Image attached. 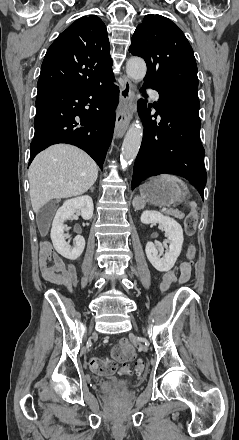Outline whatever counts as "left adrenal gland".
Segmentation results:
<instances>
[{
	"label": "left adrenal gland",
	"instance_id": "a2214340",
	"mask_svg": "<svg viewBox=\"0 0 239 440\" xmlns=\"http://www.w3.org/2000/svg\"><path fill=\"white\" fill-rule=\"evenodd\" d=\"M133 206H134V208H138L136 202H133Z\"/></svg>",
	"mask_w": 239,
	"mask_h": 440
}]
</instances>
